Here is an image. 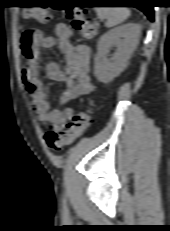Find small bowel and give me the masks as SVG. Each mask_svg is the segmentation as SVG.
Wrapping results in <instances>:
<instances>
[{"mask_svg":"<svg viewBox=\"0 0 170 231\" xmlns=\"http://www.w3.org/2000/svg\"><path fill=\"white\" fill-rule=\"evenodd\" d=\"M55 34L56 37H51L45 36L38 30H27L21 38V49L26 59L23 82L32 97L38 121L43 125H50L54 131L60 132L64 129L66 122L72 118L74 112L70 107H64L61 110L52 108L49 90L39 78L40 50L58 46L64 55V68L53 62L49 63L46 68L49 79L62 82L66 86L60 97L62 105L79 97L88 98L94 90V85L89 76L90 47L73 42V31L64 23L56 24ZM88 102L92 104L91 100Z\"/></svg>","mask_w":170,"mask_h":231,"instance_id":"c3829d8e","label":"small bowel"}]
</instances>
